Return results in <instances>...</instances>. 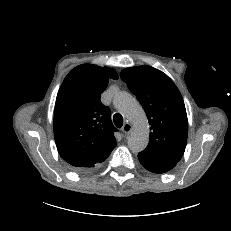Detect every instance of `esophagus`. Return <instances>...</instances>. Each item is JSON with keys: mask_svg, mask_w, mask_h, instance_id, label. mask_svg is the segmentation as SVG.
<instances>
[{"mask_svg": "<svg viewBox=\"0 0 231 231\" xmlns=\"http://www.w3.org/2000/svg\"><path fill=\"white\" fill-rule=\"evenodd\" d=\"M132 130V126L131 124L129 123H125L122 127V132L125 134V135H128Z\"/></svg>", "mask_w": 231, "mask_h": 231, "instance_id": "esophagus-1", "label": "esophagus"}]
</instances>
